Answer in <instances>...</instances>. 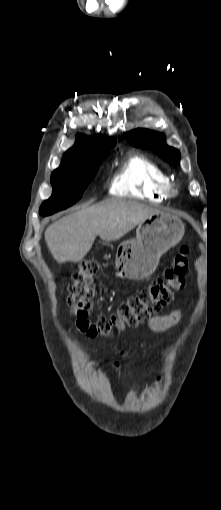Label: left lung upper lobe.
Instances as JSON below:
<instances>
[{"label": "left lung upper lobe", "instance_id": "obj_1", "mask_svg": "<svg viewBox=\"0 0 221 510\" xmlns=\"http://www.w3.org/2000/svg\"><path fill=\"white\" fill-rule=\"evenodd\" d=\"M128 142L136 147L149 148L170 164H179L180 153L164 143V135L148 130L135 129L125 134Z\"/></svg>", "mask_w": 221, "mask_h": 510}]
</instances>
